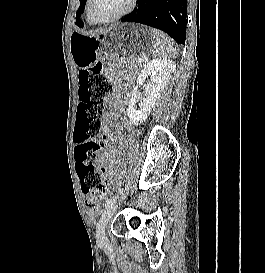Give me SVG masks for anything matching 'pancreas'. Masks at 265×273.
<instances>
[{"label":"pancreas","mask_w":265,"mask_h":273,"mask_svg":"<svg viewBox=\"0 0 265 273\" xmlns=\"http://www.w3.org/2000/svg\"><path fill=\"white\" fill-rule=\"evenodd\" d=\"M133 62H135L137 65H142L145 63L143 57H138L137 59L133 60Z\"/></svg>","instance_id":"1"}]
</instances>
